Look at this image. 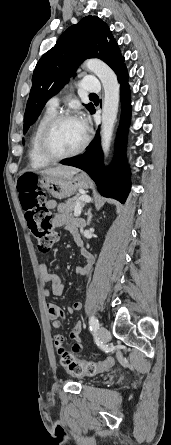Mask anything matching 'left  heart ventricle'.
Wrapping results in <instances>:
<instances>
[{"instance_id":"left-heart-ventricle-1","label":"left heart ventricle","mask_w":171,"mask_h":445,"mask_svg":"<svg viewBox=\"0 0 171 445\" xmlns=\"http://www.w3.org/2000/svg\"><path fill=\"white\" fill-rule=\"evenodd\" d=\"M85 138V129L78 120L57 124L48 138V147L54 154H64L78 148Z\"/></svg>"}]
</instances>
